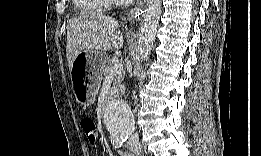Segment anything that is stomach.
<instances>
[{
	"label": "stomach",
	"instance_id": "obj_1",
	"mask_svg": "<svg viewBox=\"0 0 261 156\" xmlns=\"http://www.w3.org/2000/svg\"><path fill=\"white\" fill-rule=\"evenodd\" d=\"M107 60V55L103 53L85 52L75 58L71 80L75 98L80 104L89 106L94 103L101 83V69Z\"/></svg>",
	"mask_w": 261,
	"mask_h": 156
}]
</instances>
